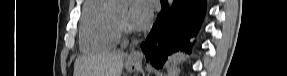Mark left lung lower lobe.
<instances>
[{
  "label": "left lung lower lobe",
  "instance_id": "0a47b994",
  "mask_svg": "<svg viewBox=\"0 0 287 76\" xmlns=\"http://www.w3.org/2000/svg\"><path fill=\"white\" fill-rule=\"evenodd\" d=\"M162 12L157 17L141 49L147 61L155 67H162L168 55L179 51L191 53V38L196 36L206 11V0H175L167 10L166 0H161ZM161 48L155 52V45Z\"/></svg>",
  "mask_w": 287,
  "mask_h": 76
}]
</instances>
